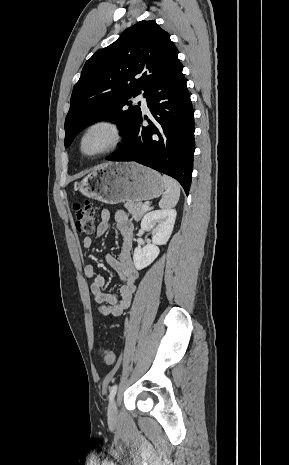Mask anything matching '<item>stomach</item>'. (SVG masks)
<instances>
[{
    "label": "stomach",
    "mask_w": 289,
    "mask_h": 465,
    "mask_svg": "<svg viewBox=\"0 0 289 465\" xmlns=\"http://www.w3.org/2000/svg\"><path fill=\"white\" fill-rule=\"evenodd\" d=\"M84 196L107 203L140 202L159 197L164 190L157 171L134 162L108 163L74 184Z\"/></svg>",
    "instance_id": "obj_1"
}]
</instances>
